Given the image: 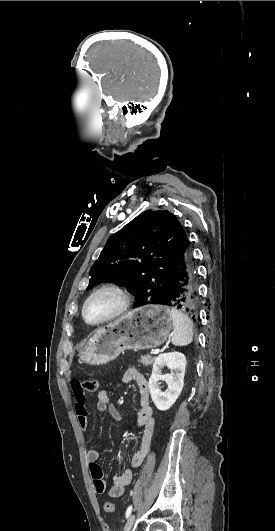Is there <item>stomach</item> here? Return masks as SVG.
Wrapping results in <instances>:
<instances>
[{"mask_svg":"<svg viewBox=\"0 0 275 531\" xmlns=\"http://www.w3.org/2000/svg\"><path fill=\"white\" fill-rule=\"evenodd\" d=\"M171 327L167 301H141L139 309L97 329L78 357L87 365H105L125 349H155L168 339Z\"/></svg>","mask_w":275,"mask_h":531,"instance_id":"1","label":"stomach"}]
</instances>
